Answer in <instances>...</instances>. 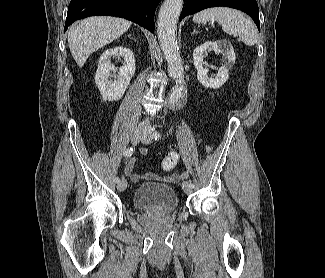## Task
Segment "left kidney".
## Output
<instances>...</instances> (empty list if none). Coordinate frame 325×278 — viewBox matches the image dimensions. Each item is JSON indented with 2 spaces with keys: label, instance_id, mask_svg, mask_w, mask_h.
I'll use <instances>...</instances> for the list:
<instances>
[{
  "label": "left kidney",
  "instance_id": "left-kidney-1",
  "mask_svg": "<svg viewBox=\"0 0 325 278\" xmlns=\"http://www.w3.org/2000/svg\"><path fill=\"white\" fill-rule=\"evenodd\" d=\"M209 51L222 54L224 58V64L219 68L214 78L208 76V69L203 66L204 55ZM193 60L198 81L204 87L218 89L228 80L229 70L234 65L236 56L233 47L227 41H208L194 50Z\"/></svg>",
  "mask_w": 325,
  "mask_h": 278
}]
</instances>
